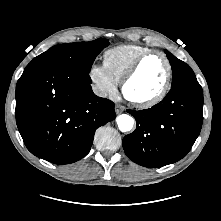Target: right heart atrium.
Segmentation results:
<instances>
[{"label": "right heart atrium", "mask_w": 221, "mask_h": 221, "mask_svg": "<svg viewBox=\"0 0 221 221\" xmlns=\"http://www.w3.org/2000/svg\"><path fill=\"white\" fill-rule=\"evenodd\" d=\"M88 78L93 91L101 98L115 99L118 95L117 82L110 76L103 64L92 63Z\"/></svg>", "instance_id": "obj_1"}]
</instances>
